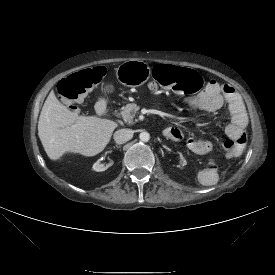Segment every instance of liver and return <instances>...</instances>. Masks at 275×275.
I'll list each match as a JSON object with an SVG mask.
<instances>
[{
  "label": "liver",
  "instance_id": "obj_1",
  "mask_svg": "<svg viewBox=\"0 0 275 275\" xmlns=\"http://www.w3.org/2000/svg\"><path fill=\"white\" fill-rule=\"evenodd\" d=\"M117 123L94 116L80 117L70 111L51 91L42 107L38 135L51 160L66 153L95 156L109 143Z\"/></svg>",
  "mask_w": 275,
  "mask_h": 275
}]
</instances>
